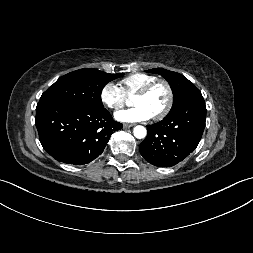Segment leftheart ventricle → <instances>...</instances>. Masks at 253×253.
Listing matches in <instances>:
<instances>
[{"instance_id":"1","label":"left heart ventricle","mask_w":253,"mask_h":253,"mask_svg":"<svg viewBox=\"0 0 253 253\" xmlns=\"http://www.w3.org/2000/svg\"><path fill=\"white\" fill-rule=\"evenodd\" d=\"M167 100V90L163 85L159 84L146 96L135 95L133 104L145 106L154 116L165 107Z\"/></svg>"}]
</instances>
